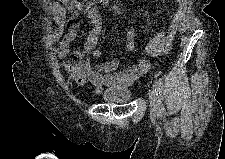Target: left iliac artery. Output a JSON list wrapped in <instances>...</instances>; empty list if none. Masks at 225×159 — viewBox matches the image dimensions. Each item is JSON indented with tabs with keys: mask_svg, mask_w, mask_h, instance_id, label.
<instances>
[{
	"mask_svg": "<svg viewBox=\"0 0 225 159\" xmlns=\"http://www.w3.org/2000/svg\"><path fill=\"white\" fill-rule=\"evenodd\" d=\"M154 86H155V92L158 96V100H159V103H160V97H161V94H162V82L160 80H156ZM159 110L162 113L165 112V108L161 103H160V109Z\"/></svg>",
	"mask_w": 225,
	"mask_h": 159,
	"instance_id": "44dca946",
	"label": "left iliac artery"
}]
</instances>
